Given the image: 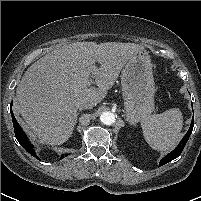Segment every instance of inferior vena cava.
I'll list each match as a JSON object with an SVG mask.
<instances>
[{"label":"inferior vena cava","mask_w":201,"mask_h":201,"mask_svg":"<svg viewBox=\"0 0 201 201\" xmlns=\"http://www.w3.org/2000/svg\"><path fill=\"white\" fill-rule=\"evenodd\" d=\"M95 103L92 100L83 99L78 103V108L80 110L84 109H92L94 107Z\"/></svg>","instance_id":"obj_1"}]
</instances>
